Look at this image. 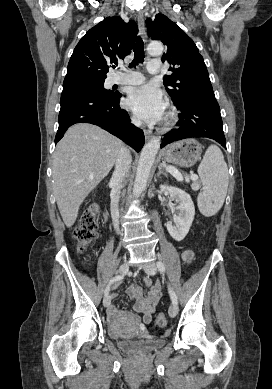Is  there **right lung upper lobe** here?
<instances>
[{"mask_svg":"<svg viewBox=\"0 0 272 389\" xmlns=\"http://www.w3.org/2000/svg\"><path fill=\"white\" fill-rule=\"evenodd\" d=\"M138 33L136 23L108 17L91 28L76 45L63 86L105 80L108 68L130 53Z\"/></svg>","mask_w":272,"mask_h":389,"instance_id":"right-lung-upper-lobe-1","label":"right lung upper lobe"}]
</instances>
